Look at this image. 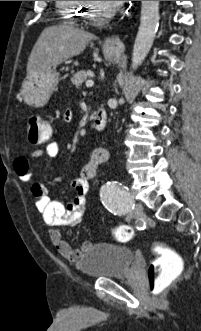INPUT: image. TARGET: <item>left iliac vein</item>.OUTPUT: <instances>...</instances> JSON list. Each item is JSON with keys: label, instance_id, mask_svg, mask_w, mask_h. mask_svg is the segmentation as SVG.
Listing matches in <instances>:
<instances>
[{"label": "left iliac vein", "instance_id": "left-iliac-vein-1", "mask_svg": "<svg viewBox=\"0 0 201 331\" xmlns=\"http://www.w3.org/2000/svg\"><path fill=\"white\" fill-rule=\"evenodd\" d=\"M142 210H143L142 204L141 203H136L134 205L133 213L138 215L142 212Z\"/></svg>", "mask_w": 201, "mask_h": 331}]
</instances>
